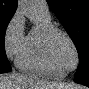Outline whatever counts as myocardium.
<instances>
[{
	"label": "myocardium",
	"instance_id": "obj_1",
	"mask_svg": "<svg viewBox=\"0 0 89 89\" xmlns=\"http://www.w3.org/2000/svg\"><path fill=\"white\" fill-rule=\"evenodd\" d=\"M58 36L64 37L70 43L71 47L74 50V53L76 56V64L72 69L62 70L57 61V58L54 53V42ZM44 43H45V49H46L47 56H48L49 60L51 61L52 65L57 70L61 71L64 75H66L70 72L75 71L78 68V66L80 64L79 50H78L74 40L72 39V37L66 31H64L58 27H55V26L46 30V32L44 34Z\"/></svg>",
	"mask_w": 89,
	"mask_h": 89
}]
</instances>
